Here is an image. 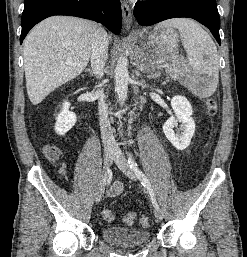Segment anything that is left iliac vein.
I'll list each match as a JSON object with an SVG mask.
<instances>
[{
    "mask_svg": "<svg viewBox=\"0 0 247 257\" xmlns=\"http://www.w3.org/2000/svg\"><path fill=\"white\" fill-rule=\"evenodd\" d=\"M114 161H115L116 165L118 166V168L127 177H129L132 180H136L137 179V175L135 174L133 169L130 167L128 161L126 160V158L124 157V155L122 154V152L120 151L119 148H116V150H115ZM154 214H155V217L158 220H162L163 217H164L163 211L160 208L159 209H155Z\"/></svg>",
    "mask_w": 247,
    "mask_h": 257,
    "instance_id": "1",
    "label": "left iliac vein"
}]
</instances>
